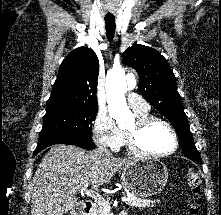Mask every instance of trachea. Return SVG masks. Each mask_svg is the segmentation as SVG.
Here are the masks:
<instances>
[{"mask_svg":"<svg viewBox=\"0 0 221 215\" xmlns=\"http://www.w3.org/2000/svg\"><path fill=\"white\" fill-rule=\"evenodd\" d=\"M115 19H105V28H106V35L109 42L113 41L114 34H115Z\"/></svg>","mask_w":221,"mask_h":215,"instance_id":"trachea-1","label":"trachea"}]
</instances>
